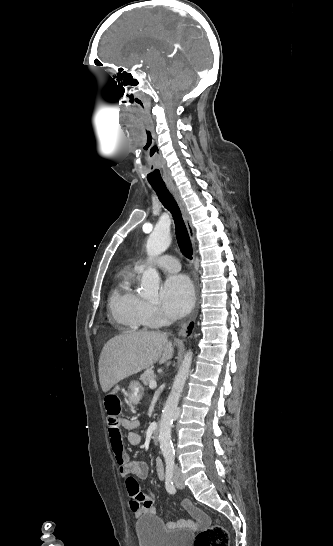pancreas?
<instances>
[{
	"mask_svg": "<svg viewBox=\"0 0 333 546\" xmlns=\"http://www.w3.org/2000/svg\"><path fill=\"white\" fill-rule=\"evenodd\" d=\"M155 373L153 372L152 369H147L141 376H140V380L142 381V383L147 386L149 385L150 381L154 380L155 379Z\"/></svg>",
	"mask_w": 333,
	"mask_h": 546,
	"instance_id": "cf45deb5",
	"label": "pancreas"
}]
</instances>
